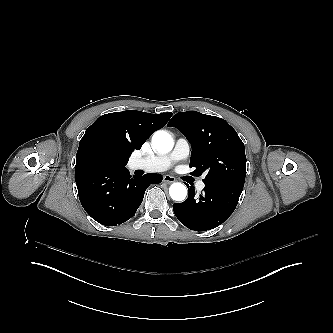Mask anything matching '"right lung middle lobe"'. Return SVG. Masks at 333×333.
<instances>
[{
	"label": "right lung middle lobe",
	"mask_w": 333,
	"mask_h": 333,
	"mask_svg": "<svg viewBox=\"0 0 333 333\" xmlns=\"http://www.w3.org/2000/svg\"><path fill=\"white\" fill-rule=\"evenodd\" d=\"M86 164H95L99 167L107 168H123L127 162L120 161L111 155L106 149L102 147L92 148L85 159Z\"/></svg>",
	"instance_id": "1"
}]
</instances>
